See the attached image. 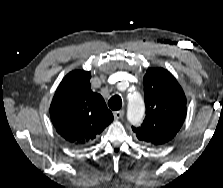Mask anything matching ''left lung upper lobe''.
Returning <instances> with one entry per match:
<instances>
[{
	"label": "left lung upper lobe",
	"instance_id": "left-lung-upper-lobe-1",
	"mask_svg": "<svg viewBox=\"0 0 223 188\" xmlns=\"http://www.w3.org/2000/svg\"><path fill=\"white\" fill-rule=\"evenodd\" d=\"M146 117L132 127L137 138L159 146L174 138L186 117V97L173 75L163 68H150L144 76Z\"/></svg>",
	"mask_w": 223,
	"mask_h": 188
}]
</instances>
